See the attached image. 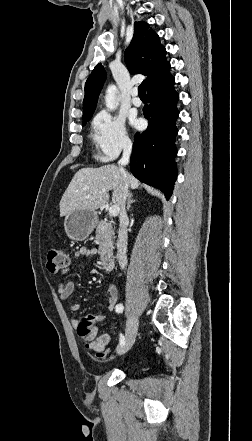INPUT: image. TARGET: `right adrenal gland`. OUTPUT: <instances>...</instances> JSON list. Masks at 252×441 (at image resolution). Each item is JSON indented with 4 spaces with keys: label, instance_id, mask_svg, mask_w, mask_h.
<instances>
[{
    "label": "right adrenal gland",
    "instance_id": "obj_1",
    "mask_svg": "<svg viewBox=\"0 0 252 441\" xmlns=\"http://www.w3.org/2000/svg\"><path fill=\"white\" fill-rule=\"evenodd\" d=\"M132 197H133V194L130 193L128 196V201H127V211L130 210L131 204L136 202V200H133Z\"/></svg>",
    "mask_w": 252,
    "mask_h": 441
}]
</instances>
